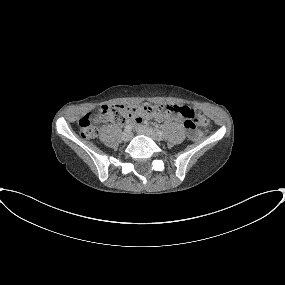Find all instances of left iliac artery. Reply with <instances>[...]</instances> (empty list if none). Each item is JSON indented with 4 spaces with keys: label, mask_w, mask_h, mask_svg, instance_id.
Listing matches in <instances>:
<instances>
[{
    "label": "left iliac artery",
    "mask_w": 285,
    "mask_h": 285,
    "mask_svg": "<svg viewBox=\"0 0 285 285\" xmlns=\"http://www.w3.org/2000/svg\"><path fill=\"white\" fill-rule=\"evenodd\" d=\"M156 133H157V135L160 136V137L163 136V131H161V130H156Z\"/></svg>",
    "instance_id": "obj_1"
}]
</instances>
